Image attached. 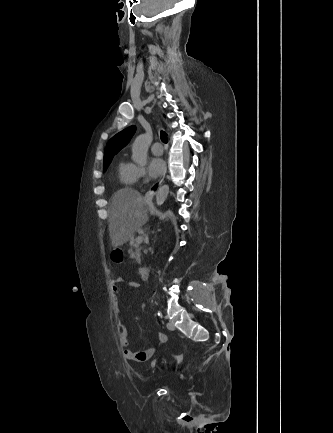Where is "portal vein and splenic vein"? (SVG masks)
Here are the masks:
<instances>
[{
	"mask_svg": "<svg viewBox=\"0 0 333 433\" xmlns=\"http://www.w3.org/2000/svg\"><path fill=\"white\" fill-rule=\"evenodd\" d=\"M142 241H143V237H142V236H139V237L137 238V243H142Z\"/></svg>",
	"mask_w": 333,
	"mask_h": 433,
	"instance_id": "portal-vein-and-splenic-vein-1",
	"label": "portal vein and splenic vein"
}]
</instances>
